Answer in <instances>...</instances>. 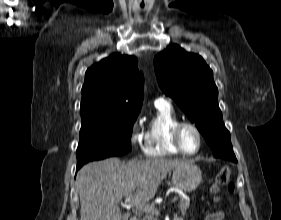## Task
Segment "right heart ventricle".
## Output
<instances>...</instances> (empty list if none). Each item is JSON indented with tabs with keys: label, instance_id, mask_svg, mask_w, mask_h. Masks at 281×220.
<instances>
[{
	"label": "right heart ventricle",
	"instance_id": "obj_1",
	"mask_svg": "<svg viewBox=\"0 0 281 220\" xmlns=\"http://www.w3.org/2000/svg\"><path fill=\"white\" fill-rule=\"evenodd\" d=\"M180 120L169 103L155 102V114L150 120L144 138L143 151L150 157L181 154L172 142V130Z\"/></svg>",
	"mask_w": 281,
	"mask_h": 220
}]
</instances>
